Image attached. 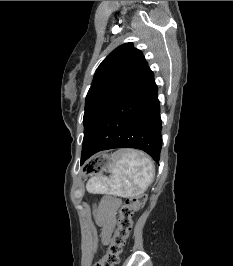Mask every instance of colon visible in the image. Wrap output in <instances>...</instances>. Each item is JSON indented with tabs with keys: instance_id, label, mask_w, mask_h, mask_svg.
Here are the masks:
<instances>
[{
	"instance_id": "obj_1",
	"label": "colon",
	"mask_w": 233,
	"mask_h": 266,
	"mask_svg": "<svg viewBox=\"0 0 233 266\" xmlns=\"http://www.w3.org/2000/svg\"><path fill=\"white\" fill-rule=\"evenodd\" d=\"M143 194L128 197L119 209L116 229L103 257L94 266H115L132 230L133 216L145 204Z\"/></svg>"
}]
</instances>
